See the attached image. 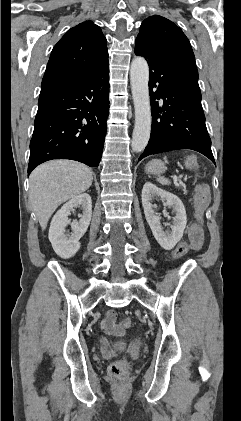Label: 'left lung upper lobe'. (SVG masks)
I'll list each match as a JSON object with an SVG mask.
<instances>
[{
    "mask_svg": "<svg viewBox=\"0 0 241 421\" xmlns=\"http://www.w3.org/2000/svg\"><path fill=\"white\" fill-rule=\"evenodd\" d=\"M136 41L158 53L183 56L195 62L193 50L185 34L162 16L153 15L145 19Z\"/></svg>",
    "mask_w": 241,
    "mask_h": 421,
    "instance_id": "5c2ea615",
    "label": "left lung upper lobe"
}]
</instances>
